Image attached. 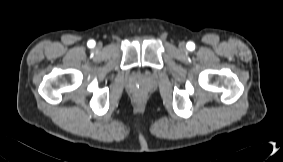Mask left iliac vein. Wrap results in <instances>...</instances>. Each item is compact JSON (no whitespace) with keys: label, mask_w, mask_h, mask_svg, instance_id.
I'll return each instance as SVG.
<instances>
[{"label":"left iliac vein","mask_w":283,"mask_h":162,"mask_svg":"<svg viewBox=\"0 0 283 162\" xmlns=\"http://www.w3.org/2000/svg\"><path fill=\"white\" fill-rule=\"evenodd\" d=\"M179 49L182 50V51L186 50V44L184 42H180L179 43Z\"/></svg>","instance_id":"1"}]
</instances>
